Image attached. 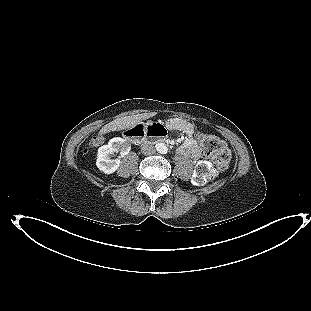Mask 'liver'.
<instances>
[{"label":"liver","instance_id":"obj_1","mask_svg":"<svg viewBox=\"0 0 311 311\" xmlns=\"http://www.w3.org/2000/svg\"><path fill=\"white\" fill-rule=\"evenodd\" d=\"M154 115H155L154 113H143V114H137V115L117 118L113 120L112 122L103 126V128L99 131V136H102L109 132L120 131L123 129L131 128L135 126L136 124H138L139 122H141L142 120H146Z\"/></svg>","mask_w":311,"mask_h":311}]
</instances>
